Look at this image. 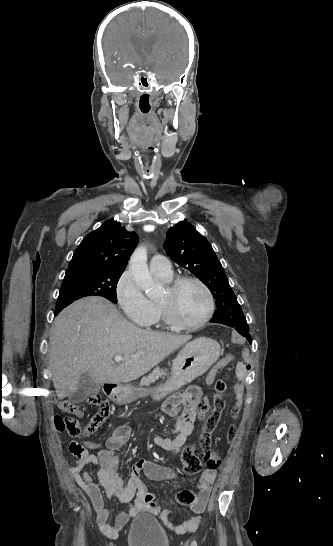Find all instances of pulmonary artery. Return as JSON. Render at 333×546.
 Instances as JSON below:
<instances>
[{"label":"pulmonary artery","mask_w":333,"mask_h":546,"mask_svg":"<svg viewBox=\"0 0 333 546\" xmlns=\"http://www.w3.org/2000/svg\"><path fill=\"white\" fill-rule=\"evenodd\" d=\"M149 267L156 275L171 277L173 274L171 261L164 255H154L150 259Z\"/></svg>","instance_id":"1"}]
</instances>
